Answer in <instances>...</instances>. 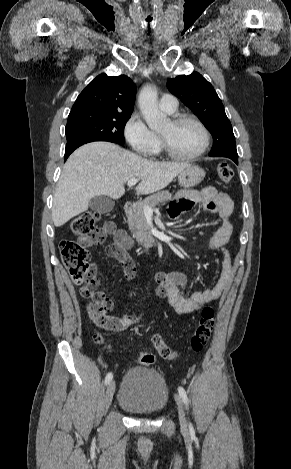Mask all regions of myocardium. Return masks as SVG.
<instances>
[{
    "label": "myocardium",
    "mask_w": 291,
    "mask_h": 469,
    "mask_svg": "<svg viewBox=\"0 0 291 469\" xmlns=\"http://www.w3.org/2000/svg\"><path fill=\"white\" fill-rule=\"evenodd\" d=\"M185 121H190V122L194 123L200 129V131L202 133V137H203L202 145H201L200 149L197 152H195L194 154H191V155H187V156L178 155L170 148L168 142L166 141V139L162 135H160V143H161V148H162L163 152L168 157H170L171 159L177 160V161L188 162V161H194V160L200 158L207 151V149L209 147V144H210V133H209L207 127L202 123V121H200L194 115H191V114H177V115L173 116V118L171 119V123L174 124V125H178V124H180L182 122H185Z\"/></svg>",
    "instance_id": "1"
}]
</instances>
